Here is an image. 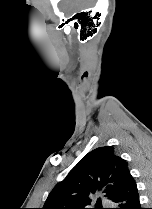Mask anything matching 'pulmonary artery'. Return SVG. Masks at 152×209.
Wrapping results in <instances>:
<instances>
[{
  "label": "pulmonary artery",
  "mask_w": 152,
  "mask_h": 209,
  "mask_svg": "<svg viewBox=\"0 0 152 209\" xmlns=\"http://www.w3.org/2000/svg\"><path fill=\"white\" fill-rule=\"evenodd\" d=\"M102 204H110L108 200H103Z\"/></svg>",
  "instance_id": "1"
}]
</instances>
